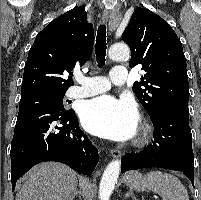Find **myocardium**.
Instances as JSON below:
<instances>
[{"label":"myocardium","instance_id":"f54148a6","mask_svg":"<svg viewBox=\"0 0 201 200\" xmlns=\"http://www.w3.org/2000/svg\"><path fill=\"white\" fill-rule=\"evenodd\" d=\"M151 135V127L145 120H141L137 136L135 138L136 145H143L148 142Z\"/></svg>","mask_w":201,"mask_h":200}]
</instances>
